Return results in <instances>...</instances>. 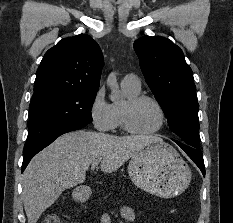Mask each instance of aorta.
Segmentation results:
<instances>
[{
    "instance_id": "obj_1",
    "label": "aorta",
    "mask_w": 233,
    "mask_h": 223,
    "mask_svg": "<svg viewBox=\"0 0 233 223\" xmlns=\"http://www.w3.org/2000/svg\"><path fill=\"white\" fill-rule=\"evenodd\" d=\"M107 86L111 90V102H114V104H119V102H122V94L120 92L115 72H111V74H109L107 78Z\"/></svg>"
}]
</instances>
